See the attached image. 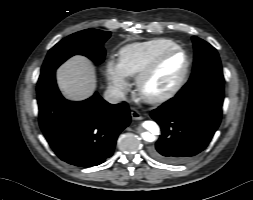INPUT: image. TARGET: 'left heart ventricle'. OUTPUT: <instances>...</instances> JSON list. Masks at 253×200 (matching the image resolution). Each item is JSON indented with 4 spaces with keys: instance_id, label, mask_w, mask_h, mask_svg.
Here are the masks:
<instances>
[{
    "instance_id": "left-heart-ventricle-1",
    "label": "left heart ventricle",
    "mask_w": 253,
    "mask_h": 200,
    "mask_svg": "<svg viewBox=\"0 0 253 200\" xmlns=\"http://www.w3.org/2000/svg\"><path fill=\"white\" fill-rule=\"evenodd\" d=\"M185 66V57L174 53L166 57L146 83L149 94H159L169 89L178 79Z\"/></svg>"
}]
</instances>
